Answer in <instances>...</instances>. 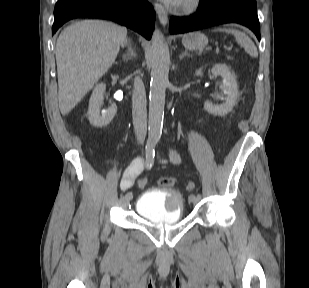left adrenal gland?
Masks as SVG:
<instances>
[{"label": "left adrenal gland", "instance_id": "a2214340", "mask_svg": "<svg viewBox=\"0 0 309 288\" xmlns=\"http://www.w3.org/2000/svg\"><path fill=\"white\" fill-rule=\"evenodd\" d=\"M185 56L190 57L191 54L187 52V50H185L181 55H180V59H183Z\"/></svg>", "mask_w": 309, "mask_h": 288}]
</instances>
